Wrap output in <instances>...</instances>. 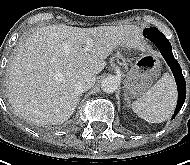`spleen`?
I'll use <instances>...</instances> for the list:
<instances>
[{
	"instance_id": "1",
	"label": "spleen",
	"mask_w": 190,
	"mask_h": 165,
	"mask_svg": "<svg viewBox=\"0 0 190 165\" xmlns=\"http://www.w3.org/2000/svg\"><path fill=\"white\" fill-rule=\"evenodd\" d=\"M176 101L175 81L165 73L148 92L132 103V110L149 123H161L170 117Z\"/></svg>"
}]
</instances>
